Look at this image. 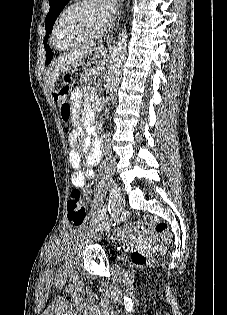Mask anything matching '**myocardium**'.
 Returning <instances> with one entry per match:
<instances>
[{"mask_svg": "<svg viewBox=\"0 0 227 315\" xmlns=\"http://www.w3.org/2000/svg\"><path fill=\"white\" fill-rule=\"evenodd\" d=\"M94 0H75L73 3H71L69 6H67L58 16V18L55 21V24L53 26V30H52V35H51V42L52 45L54 46L55 49L59 50V51H69V50H73L79 47H82L86 44H89L91 42L97 41L99 40L104 33L107 31L109 24H106L102 30H100L96 35L90 37L89 39L79 43V44H75V45H71V46H67V47H60L58 46L57 42H56V35H57V30H58V26L61 22V20L63 19V17L73 8L83 5V4H87V3H91Z\"/></svg>", "mask_w": 227, "mask_h": 315, "instance_id": "f54148a6", "label": "myocardium"}]
</instances>
